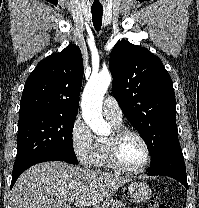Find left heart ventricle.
I'll use <instances>...</instances> for the list:
<instances>
[{"label": "left heart ventricle", "instance_id": "left-heart-ventricle-1", "mask_svg": "<svg viewBox=\"0 0 199 208\" xmlns=\"http://www.w3.org/2000/svg\"><path fill=\"white\" fill-rule=\"evenodd\" d=\"M119 157L122 163L131 169L139 167L146 158V152L139 139L125 136L119 143Z\"/></svg>", "mask_w": 199, "mask_h": 208}]
</instances>
